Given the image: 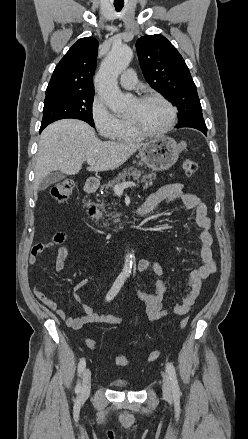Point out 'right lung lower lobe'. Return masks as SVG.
I'll use <instances>...</instances> for the list:
<instances>
[{
  "label": "right lung lower lobe",
  "mask_w": 248,
  "mask_h": 439,
  "mask_svg": "<svg viewBox=\"0 0 248 439\" xmlns=\"http://www.w3.org/2000/svg\"><path fill=\"white\" fill-rule=\"evenodd\" d=\"M46 126H41L40 127V133H41V131L45 128Z\"/></svg>",
  "instance_id": "98d812e1"
}]
</instances>
